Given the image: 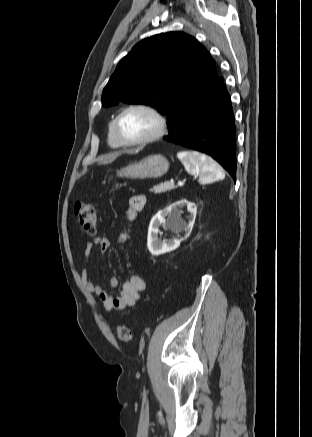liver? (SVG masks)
<instances>
[{"mask_svg":"<svg viewBox=\"0 0 312 437\" xmlns=\"http://www.w3.org/2000/svg\"><path fill=\"white\" fill-rule=\"evenodd\" d=\"M119 155H120L119 153H115V154L109 155V156L105 157L100 162V164H109V163H112Z\"/></svg>","mask_w":312,"mask_h":437,"instance_id":"1","label":"liver"}]
</instances>
